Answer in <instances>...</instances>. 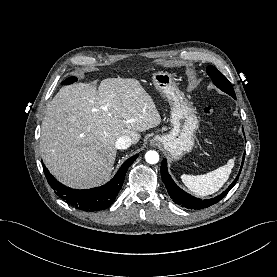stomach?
Wrapping results in <instances>:
<instances>
[{"label":"stomach","instance_id":"1","mask_svg":"<svg viewBox=\"0 0 277 277\" xmlns=\"http://www.w3.org/2000/svg\"><path fill=\"white\" fill-rule=\"evenodd\" d=\"M151 82L170 105L172 125L169 133L155 135L153 142L161 145L174 160H179L193 149L199 120L191 104L178 89L173 74L155 72Z\"/></svg>","mask_w":277,"mask_h":277}]
</instances>
